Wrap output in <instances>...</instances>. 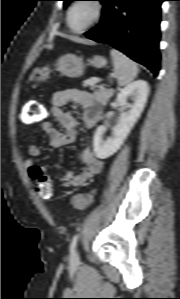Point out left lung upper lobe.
<instances>
[{"instance_id": "obj_1", "label": "left lung upper lobe", "mask_w": 180, "mask_h": 299, "mask_svg": "<svg viewBox=\"0 0 180 299\" xmlns=\"http://www.w3.org/2000/svg\"><path fill=\"white\" fill-rule=\"evenodd\" d=\"M62 1H64V5L66 7L68 3L72 2V1H75V0H62ZM97 1L102 2L103 0H97Z\"/></svg>"}]
</instances>
